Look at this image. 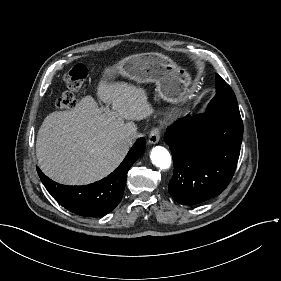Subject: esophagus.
Returning <instances> with one entry per match:
<instances>
[{
	"label": "esophagus",
	"mask_w": 281,
	"mask_h": 281,
	"mask_svg": "<svg viewBox=\"0 0 281 281\" xmlns=\"http://www.w3.org/2000/svg\"><path fill=\"white\" fill-rule=\"evenodd\" d=\"M160 139V130L157 127L152 128V130L150 131V135H149V139L148 142L149 144H157L159 142Z\"/></svg>",
	"instance_id": "obj_1"
}]
</instances>
